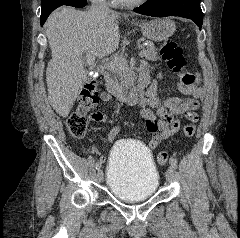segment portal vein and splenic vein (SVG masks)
Instances as JSON below:
<instances>
[{
    "mask_svg": "<svg viewBox=\"0 0 240 238\" xmlns=\"http://www.w3.org/2000/svg\"><path fill=\"white\" fill-rule=\"evenodd\" d=\"M139 48H141V46H139ZM145 49H142L139 53V56L140 57H143L144 56V53H145ZM86 62L89 64V65H94V62H95V56L92 55V54H87L86 55ZM120 63V61L118 59H114L112 60L111 62L105 64V68L106 69H110V68H114L116 65H118Z\"/></svg>",
    "mask_w": 240,
    "mask_h": 238,
    "instance_id": "1",
    "label": "portal vein and splenic vein"
}]
</instances>
